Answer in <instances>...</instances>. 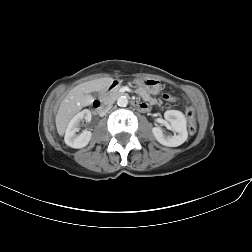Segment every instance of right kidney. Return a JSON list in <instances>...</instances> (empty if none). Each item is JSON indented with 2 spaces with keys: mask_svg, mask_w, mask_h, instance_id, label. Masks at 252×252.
I'll return each instance as SVG.
<instances>
[{
  "mask_svg": "<svg viewBox=\"0 0 252 252\" xmlns=\"http://www.w3.org/2000/svg\"><path fill=\"white\" fill-rule=\"evenodd\" d=\"M92 118L91 112L88 109L77 113L68 123L65 131L64 141L72 148H83L88 145L92 133L88 130H83L80 134H76L79 131V125L82 120L90 122Z\"/></svg>",
  "mask_w": 252,
  "mask_h": 252,
  "instance_id": "ca27d5eb",
  "label": "right kidney"
}]
</instances>
